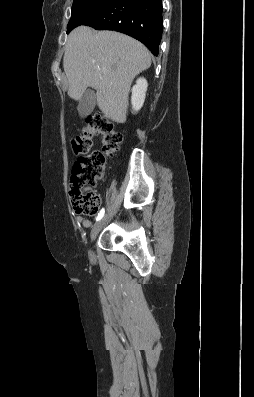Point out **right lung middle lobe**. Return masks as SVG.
<instances>
[{"label": "right lung middle lobe", "mask_w": 254, "mask_h": 397, "mask_svg": "<svg viewBox=\"0 0 254 397\" xmlns=\"http://www.w3.org/2000/svg\"><path fill=\"white\" fill-rule=\"evenodd\" d=\"M109 0H74L67 33L96 15Z\"/></svg>", "instance_id": "obj_1"}]
</instances>
